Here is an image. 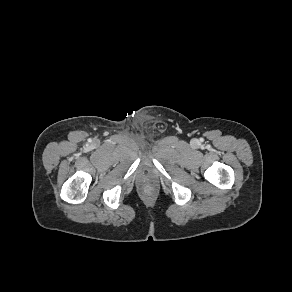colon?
Wrapping results in <instances>:
<instances>
[{"mask_svg":"<svg viewBox=\"0 0 292 292\" xmlns=\"http://www.w3.org/2000/svg\"><path fill=\"white\" fill-rule=\"evenodd\" d=\"M147 189L150 190L151 188L150 187H147Z\"/></svg>","mask_w":292,"mask_h":292,"instance_id":"1","label":"colon"}]
</instances>
